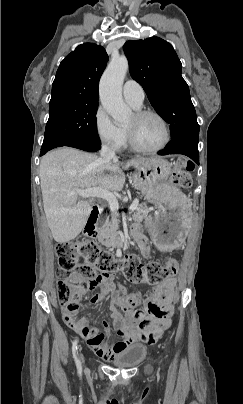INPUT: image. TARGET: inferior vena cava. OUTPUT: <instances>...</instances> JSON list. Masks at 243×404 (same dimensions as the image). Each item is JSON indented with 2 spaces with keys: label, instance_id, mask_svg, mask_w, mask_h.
Instances as JSON below:
<instances>
[{
  "label": "inferior vena cava",
  "instance_id": "inferior-vena-cava-1",
  "mask_svg": "<svg viewBox=\"0 0 243 404\" xmlns=\"http://www.w3.org/2000/svg\"><path fill=\"white\" fill-rule=\"evenodd\" d=\"M100 156L103 158V160H107V162H110V160H117L114 150H111V148H108V146H102Z\"/></svg>",
  "mask_w": 243,
  "mask_h": 404
}]
</instances>
